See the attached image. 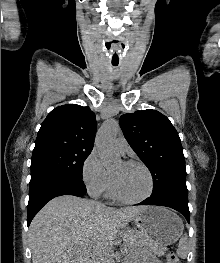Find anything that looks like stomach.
I'll use <instances>...</instances> for the list:
<instances>
[{"label":"stomach","mask_w":220,"mask_h":263,"mask_svg":"<svg viewBox=\"0 0 220 263\" xmlns=\"http://www.w3.org/2000/svg\"><path fill=\"white\" fill-rule=\"evenodd\" d=\"M141 247L155 249L175 243L183 233L179 216L164 207L149 206L133 217Z\"/></svg>","instance_id":"stomach-1"}]
</instances>
